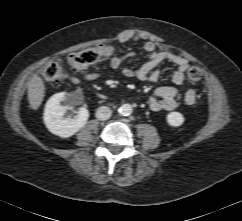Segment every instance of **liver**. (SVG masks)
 <instances>
[{"mask_svg":"<svg viewBox=\"0 0 242 221\" xmlns=\"http://www.w3.org/2000/svg\"><path fill=\"white\" fill-rule=\"evenodd\" d=\"M45 96V85L42 78L38 75H34L28 84V100L30 107L33 110H37Z\"/></svg>","mask_w":242,"mask_h":221,"instance_id":"6515ba94","label":"liver"}]
</instances>
